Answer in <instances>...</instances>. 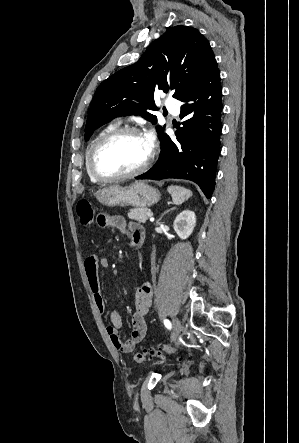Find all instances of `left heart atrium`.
Instances as JSON below:
<instances>
[{"label": "left heart atrium", "instance_id": "left-heart-atrium-1", "mask_svg": "<svg viewBox=\"0 0 299 443\" xmlns=\"http://www.w3.org/2000/svg\"><path fill=\"white\" fill-rule=\"evenodd\" d=\"M145 139L149 145V148L151 149L154 146V142H155V135H154L153 131H148L145 134Z\"/></svg>", "mask_w": 299, "mask_h": 443}]
</instances>
